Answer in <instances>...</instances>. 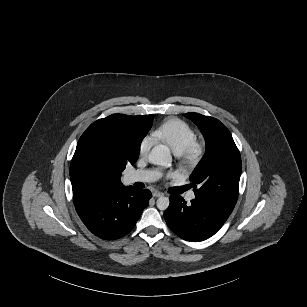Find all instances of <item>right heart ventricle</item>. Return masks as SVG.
<instances>
[{
    "label": "right heart ventricle",
    "mask_w": 307,
    "mask_h": 307,
    "mask_svg": "<svg viewBox=\"0 0 307 307\" xmlns=\"http://www.w3.org/2000/svg\"><path fill=\"white\" fill-rule=\"evenodd\" d=\"M151 134L154 142L165 144L176 154L182 153L196 138L195 133L177 119H168L155 126Z\"/></svg>",
    "instance_id": "e07e8e85"
}]
</instances>
